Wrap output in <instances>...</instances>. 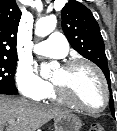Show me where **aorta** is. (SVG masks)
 <instances>
[{
	"mask_svg": "<svg viewBox=\"0 0 117 131\" xmlns=\"http://www.w3.org/2000/svg\"><path fill=\"white\" fill-rule=\"evenodd\" d=\"M57 19L55 16H46L37 20L35 25V34L40 37H45L55 29ZM54 65L52 63H42L40 67V74L42 77H47Z\"/></svg>",
	"mask_w": 117,
	"mask_h": 131,
	"instance_id": "1",
	"label": "aorta"
}]
</instances>
